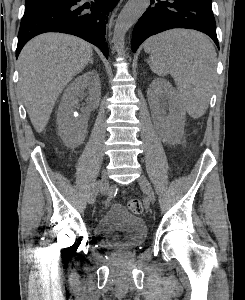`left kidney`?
<instances>
[{
	"mask_svg": "<svg viewBox=\"0 0 245 300\" xmlns=\"http://www.w3.org/2000/svg\"><path fill=\"white\" fill-rule=\"evenodd\" d=\"M147 96L160 136L168 142L179 140L186 118L184 106L173 86L163 78H156L150 84ZM166 106L169 109L168 115Z\"/></svg>",
	"mask_w": 245,
	"mask_h": 300,
	"instance_id": "left-kidney-1",
	"label": "left kidney"
}]
</instances>
